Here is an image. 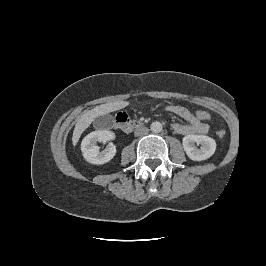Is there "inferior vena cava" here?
Returning <instances> with one entry per match:
<instances>
[{"label":"inferior vena cava","instance_id":"602c4592","mask_svg":"<svg viewBox=\"0 0 266 266\" xmlns=\"http://www.w3.org/2000/svg\"><path fill=\"white\" fill-rule=\"evenodd\" d=\"M149 132V129L147 127H140L135 130L134 134L135 136L145 135Z\"/></svg>","mask_w":266,"mask_h":266}]
</instances>
